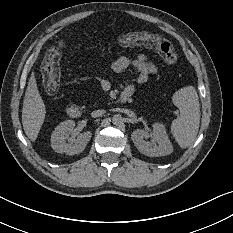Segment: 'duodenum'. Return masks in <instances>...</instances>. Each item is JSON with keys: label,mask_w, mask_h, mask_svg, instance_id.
<instances>
[{"label": "duodenum", "mask_w": 233, "mask_h": 233, "mask_svg": "<svg viewBox=\"0 0 233 233\" xmlns=\"http://www.w3.org/2000/svg\"><path fill=\"white\" fill-rule=\"evenodd\" d=\"M121 101L125 102V101H127V98L124 97L123 95H121ZM66 111H67V114L72 118H78L82 114V111H81L80 107L78 105L74 104V103H70L67 106Z\"/></svg>", "instance_id": "obj_1"}]
</instances>
